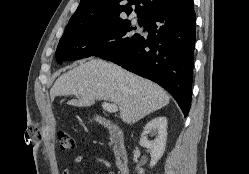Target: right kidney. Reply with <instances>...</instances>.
Instances as JSON below:
<instances>
[{
  "mask_svg": "<svg viewBox=\"0 0 249 174\" xmlns=\"http://www.w3.org/2000/svg\"><path fill=\"white\" fill-rule=\"evenodd\" d=\"M153 133L157 135L154 141H149L147 135ZM167 140V119L157 117L149 121L141 134L139 144L150 152V167H154L164 154ZM139 174H144L142 168H138Z\"/></svg>",
  "mask_w": 249,
  "mask_h": 174,
  "instance_id": "right-kidney-1",
  "label": "right kidney"
}]
</instances>
